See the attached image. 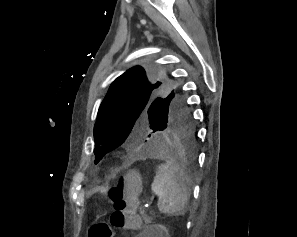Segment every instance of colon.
Listing matches in <instances>:
<instances>
[{"label": "colon", "mask_w": 297, "mask_h": 237, "mask_svg": "<svg viewBox=\"0 0 297 237\" xmlns=\"http://www.w3.org/2000/svg\"><path fill=\"white\" fill-rule=\"evenodd\" d=\"M139 177L136 173L125 175L117 184L109 188L108 200L113 212L108 221L93 224L88 237H111L114 231H131L141 225L137 214Z\"/></svg>", "instance_id": "5ec220e1"}]
</instances>
